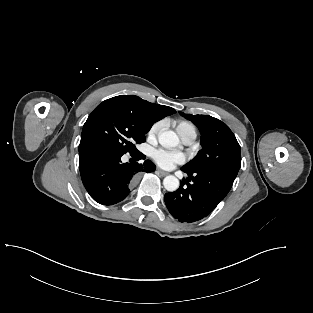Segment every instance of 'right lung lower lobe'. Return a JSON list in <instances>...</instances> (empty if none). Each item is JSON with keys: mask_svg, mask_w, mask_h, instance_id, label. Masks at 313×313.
Listing matches in <instances>:
<instances>
[{"mask_svg": "<svg viewBox=\"0 0 313 313\" xmlns=\"http://www.w3.org/2000/svg\"><path fill=\"white\" fill-rule=\"evenodd\" d=\"M124 152L105 146H90L79 150L80 174L89 195L103 205L116 204L127 197L135 176L153 172L156 166L149 160L143 164L122 163ZM131 156L137 160L145 155L136 151Z\"/></svg>", "mask_w": 313, "mask_h": 313, "instance_id": "1", "label": "right lung lower lobe"}]
</instances>
